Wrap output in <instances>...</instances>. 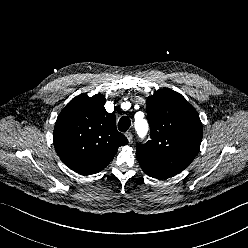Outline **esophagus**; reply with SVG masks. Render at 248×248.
<instances>
[{"label":"esophagus","mask_w":248,"mask_h":248,"mask_svg":"<svg viewBox=\"0 0 248 248\" xmlns=\"http://www.w3.org/2000/svg\"><path fill=\"white\" fill-rule=\"evenodd\" d=\"M125 136H126V138L128 139L129 142L132 141L133 135H132L131 132H126V133H125Z\"/></svg>","instance_id":"1"}]
</instances>
